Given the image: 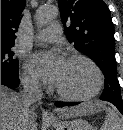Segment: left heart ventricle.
I'll use <instances>...</instances> for the list:
<instances>
[{"mask_svg": "<svg viewBox=\"0 0 123 130\" xmlns=\"http://www.w3.org/2000/svg\"><path fill=\"white\" fill-rule=\"evenodd\" d=\"M61 91L84 95L96 85V76L90 66L81 61H65L64 67L54 84Z\"/></svg>", "mask_w": 123, "mask_h": 130, "instance_id": "1", "label": "left heart ventricle"}]
</instances>
